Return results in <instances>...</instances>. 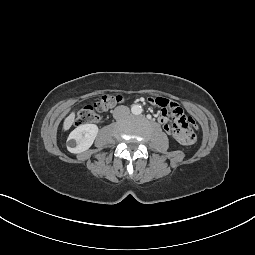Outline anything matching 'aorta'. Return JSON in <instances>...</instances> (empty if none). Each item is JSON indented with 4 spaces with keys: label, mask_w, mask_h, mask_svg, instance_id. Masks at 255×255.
Instances as JSON below:
<instances>
[{
    "label": "aorta",
    "mask_w": 255,
    "mask_h": 255,
    "mask_svg": "<svg viewBox=\"0 0 255 255\" xmlns=\"http://www.w3.org/2000/svg\"><path fill=\"white\" fill-rule=\"evenodd\" d=\"M143 109L141 107V105H133L131 107V112L134 114V115H140L142 113Z\"/></svg>",
    "instance_id": "obj_1"
}]
</instances>
